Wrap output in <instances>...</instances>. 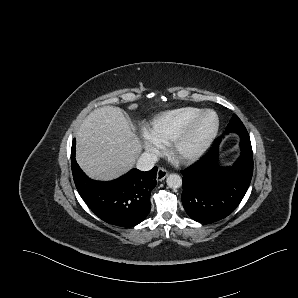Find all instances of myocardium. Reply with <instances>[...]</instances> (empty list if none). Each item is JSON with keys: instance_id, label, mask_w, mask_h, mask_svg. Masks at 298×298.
<instances>
[{"instance_id": "1", "label": "myocardium", "mask_w": 298, "mask_h": 298, "mask_svg": "<svg viewBox=\"0 0 298 298\" xmlns=\"http://www.w3.org/2000/svg\"><path fill=\"white\" fill-rule=\"evenodd\" d=\"M207 115L213 117V128L211 132L192 150H183V143L187 136L195 129L196 125ZM219 131V119L217 114L211 110H203L197 116L189 120L178 129L171 138L166 140L168 155L177 162H192L200 158L216 138Z\"/></svg>"}]
</instances>
